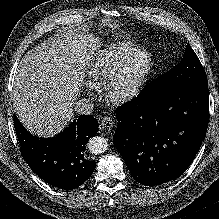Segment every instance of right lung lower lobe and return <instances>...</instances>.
Returning a JSON list of instances; mask_svg holds the SVG:
<instances>
[{
	"label": "right lung lower lobe",
	"mask_w": 219,
	"mask_h": 219,
	"mask_svg": "<svg viewBox=\"0 0 219 219\" xmlns=\"http://www.w3.org/2000/svg\"><path fill=\"white\" fill-rule=\"evenodd\" d=\"M14 128L24 160L45 182L72 190L93 173L96 163L84 156L88 140L98 132V121L92 115L79 116L54 138L34 137L15 114Z\"/></svg>",
	"instance_id": "obj_1"
}]
</instances>
